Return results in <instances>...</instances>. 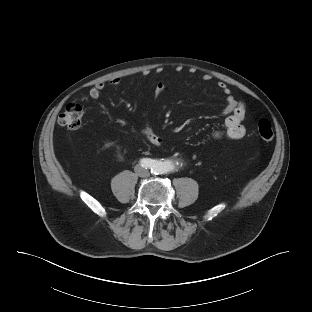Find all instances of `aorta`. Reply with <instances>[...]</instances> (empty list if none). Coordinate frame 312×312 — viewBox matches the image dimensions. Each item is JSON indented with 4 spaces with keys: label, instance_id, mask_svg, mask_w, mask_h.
I'll use <instances>...</instances> for the list:
<instances>
[{
    "label": "aorta",
    "instance_id": "762f6f07",
    "mask_svg": "<svg viewBox=\"0 0 312 312\" xmlns=\"http://www.w3.org/2000/svg\"><path fill=\"white\" fill-rule=\"evenodd\" d=\"M164 166H165V168L168 169V170L173 168V164H172V162H170V161L165 162V163H164Z\"/></svg>",
    "mask_w": 312,
    "mask_h": 312
}]
</instances>
